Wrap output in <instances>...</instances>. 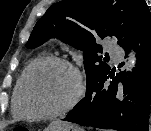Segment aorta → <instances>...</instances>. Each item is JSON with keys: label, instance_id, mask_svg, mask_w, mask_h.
I'll return each mask as SVG.
<instances>
[{"label": "aorta", "instance_id": "obj_1", "mask_svg": "<svg viewBox=\"0 0 151 131\" xmlns=\"http://www.w3.org/2000/svg\"><path fill=\"white\" fill-rule=\"evenodd\" d=\"M135 64H136V57H135V54L132 53L129 56L128 61L126 63V66H125L126 71H132V69L135 67Z\"/></svg>", "mask_w": 151, "mask_h": 131}]
</instances>
